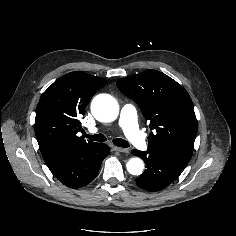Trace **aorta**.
<instances>
[{
	"label": "aorta",
	"mask_w": 236,
	"mask_h": 236,
	"mask_svg": "<svg viewBox=\"0 0 236 236\" xmlns=\"http://www.w3.org/2000/svg\"><path fill=\"white\" fill-rule=\"evenodd\" d=\"M91 110L96 119L111 122L118 116L119 105L112 96L100 94L93 99ZM126 167L130 174L140 175L144 169V163L140 158L135 157L128 160Z\"/></svg>",
	"instance_id": "762f6f07"
}]
</instances>
